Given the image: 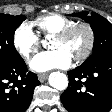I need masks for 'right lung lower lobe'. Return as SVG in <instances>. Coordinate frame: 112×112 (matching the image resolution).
<instances>
[{
  "mask_svg": "<svg viewBox=\"0 0 112 112\" xmlns=\"http://www.w3.org/2000/svg\"><path fill=\"white\" fill-rule=\"evenodd\" d=\"M20 57L0 66V112H25L40 84L35 73L29 72Z\"/></svg>",
  "mask_w": 112,
  "mask_h": 112,
  "instance_id": "obj_1",
  "label": "right lung lower lobe"
}]
</instances>
